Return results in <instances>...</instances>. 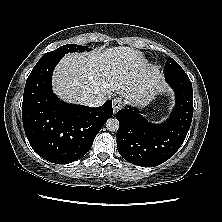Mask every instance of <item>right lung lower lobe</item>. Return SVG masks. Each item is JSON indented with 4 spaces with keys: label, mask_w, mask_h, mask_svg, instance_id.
I'll use <instances>...</instances> for the list:
<instances>
[{
    "label": "right lung lower lobe",
    "mask_w": 222,
    "mask_h": 222,
    "mask_svg": "<svg viewBox=\"0 0 222 222\" xmlns=\"http://www.w3.org/2000/svg\"><path fill=\"white\" fill-rule=\"evenodd\" d=\"M61 58L38 61L27 78L22 103L23 126L31 147L56 164L84 156L113 115L111 100L97 108L60 101L52 91L51 77Z\"/></svg>",
    "instance_id": "right-lung-lower-lobe-1"
}]
</instances>
